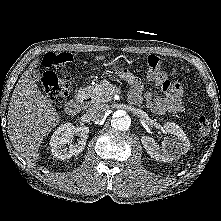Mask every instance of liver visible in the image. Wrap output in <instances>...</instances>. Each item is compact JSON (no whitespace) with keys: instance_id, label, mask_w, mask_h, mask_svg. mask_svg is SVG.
I'll return each instance as SVG.
<instances>
[{"instance_id":"1","label":"liver","mask_w":221,"mask_h":221,"mask_svg":"<svg viewBox=\"0 0 221 221\" xmlns=\"http://www.w3.org/2000/svg\"><path fill=\"white\" fill-rule=\"evenodd\" d=\"M104 56H95L102 60ZM37 61L18 80L9 103L8 136L14 148L29 163L35 164L43 139L55 128L60 117L51 102L39 91L32 71Z\"/></svg>"}]
</instances>
